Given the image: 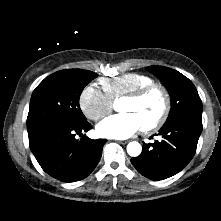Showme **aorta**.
Instances as JSON below:
<instances>
[{
	"label": "aorta",
	"mask_w": 221,
	"mask_h": 221,
	"mask_svg": "<svg viewBox=\"0 0 221 221\" xmlns=\"http://www.w3.org/2000/svg\"><path fill=\"white\" fill-rule=\"evenodd\" d=\"M142 151V146L140 145V143L133 141L130 142L127 145V153L131 156V157H137L141 154Z\"/></svg>",
	"instance_id": "aorta-1"
}]
</instances>
